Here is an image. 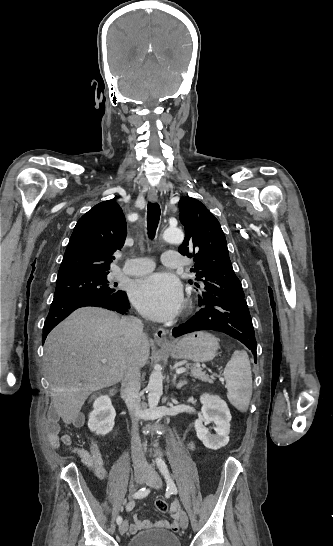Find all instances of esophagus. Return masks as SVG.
<instances>
[{"instance_id": "34e87169", "label": "esophagus", "mask_w": 333, "mask_h": 546, "mask_svg": "<svg viewBox=\"0 0 333 546\" xmlns=\"http://www.w3.org/2000/svg\"><path fill=\"white\" fill-rule=\"evenodd\" d=\"M148 200L150 202H152V203H155L158 200V193H157V190L154 187H152L149 190ZM166 335H167V331L164 328H159L154 334L155 342L158 343V344H162V345L169 344V341H168Z\"/></svg>"}]
</instances>
